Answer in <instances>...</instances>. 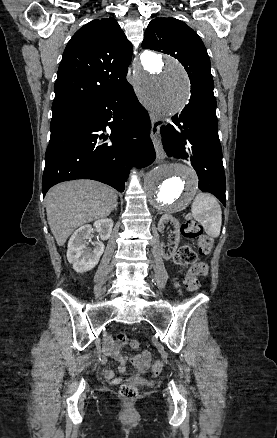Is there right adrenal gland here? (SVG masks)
<instances>
[{"instance_id": "obj_1", "label": "right adrenal gland", "mask_w": 277, "mask_h": 438, "mask_svg": "<svg viewBox=\"0 0 277 438\" xmlns=\"http://www.w3.org/2000/svg\"><path fill=\"white\" fill-rule=\"evenodd\" d=\"M117 208H118V204H116V206H115V210H117Z\"/></svg>"}]
</instances>
